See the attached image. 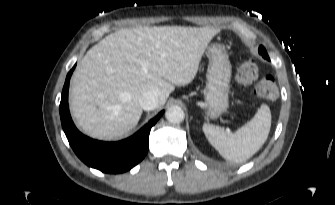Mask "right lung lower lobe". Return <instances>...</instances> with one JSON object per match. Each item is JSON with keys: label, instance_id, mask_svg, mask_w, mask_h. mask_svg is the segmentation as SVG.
Here are the masks:
<instances>
[{"label": "right lung lower lobe", "instance_id": "1", "mask_svg": "<svg viewBox=\"0 0 335 205\" xmlns=\"http://www.w3.org/2000/svg\"><path fill=\"white\" fill-rule=\"evenodd\" d=\"M75 66L67 74L59 106L62 127L69 144L85 164L102 172L122 173L131 169L145 157L150 130L164 111L151 119L136 134L119 142H101L84 136L75 127L68 107L69 81Z\"/></svg>", "mask_w": 335, "mask_h": 205}]
</instances>
